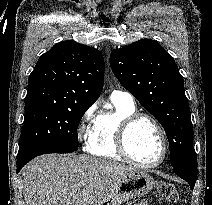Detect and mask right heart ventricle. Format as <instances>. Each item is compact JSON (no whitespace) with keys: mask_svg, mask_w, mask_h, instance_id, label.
I'll use <instances>...</instances> for the list:
<instances>
[{"mask_svg":"<svg viewBox=\"0 0 212 205\" xmlns=\"http://www.w3.org/2000/svg\"><path fill=\"white\" fill-rule=\"evenodd\" d=\"M113 112H105L96 117L95 124L86 143V151L94 156L110 160H123L116 148L115 136L120 121L136 112L134 103L112 99Z\"/></svg>","mask_w":212,"mask_h":205,"instance_id":"right-heart-ventricle-1","label":"right heart ventricle"}]
</instances>
